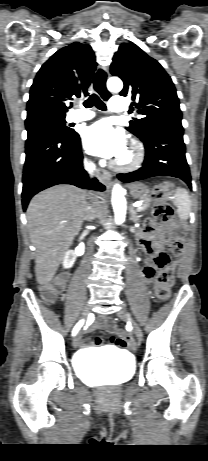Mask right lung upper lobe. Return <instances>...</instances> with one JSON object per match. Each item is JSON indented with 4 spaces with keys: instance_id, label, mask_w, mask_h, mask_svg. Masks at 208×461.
I'll return each instance as SVG.
<instances>
[{
    "instance_id": "cb5924a9",
    "label": "right lung upper lobe",
    "mask_w": 208,
    "mask_h": 461,
    "mask_svg": "<svg viewBox=\"0 0 208 461\" xmlns=\"http://www.w3.org/2000/svg\"><path fill=\"white\" fill-rule=\"evenodd\" d=\"M90 45L74 42L53 54L38 71L30 90L27 117H65L71 96H87L96 69Z\"/></svg>"
}]
</instances>
